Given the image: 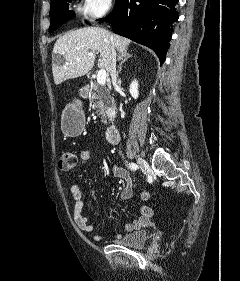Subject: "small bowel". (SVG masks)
<instances>
[{
    "mask_svg": "<svg viewBox=\"0 0 240 281\" xmlns=\"http://www.w3.org/2000/svg\"><path fill=\"white\" fill-rule=\"evenodd\" d=\"M92 157V151L89 149L83 150L80 153V161L82 164H87ZM113 176L124 180L125 187L122 189L120 193V198L123 202H127L133 194V183L132 178L129 172L120 166L114 165L111 169ZM70 193L74 200L73 206V219L78 228L86 234H93L95 228L93 225L89 223V219L87 216L83 214L84 203L82 200V192L79 186L72 185L70 188ZM141 197L143 199H147L149 194L147 192H142ZM153 214L152 209L147 205H142L139 207V217L135 219L133 222L125 225L123 233L119 234L122 236L124 234L131 233L138 229H141L148 225L150 218ZM105 238L104 235H94V239L97 241L103 240Z\"/></svg>",
    "mask_w": 240,
    "mask_h": 281,
    "instance_id": "c3829d8e",
    "label": "small bowel"
}]
</instances>
